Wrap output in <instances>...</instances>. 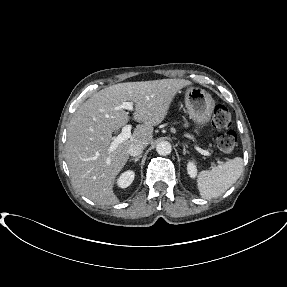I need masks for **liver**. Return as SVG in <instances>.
<instances>
[{
  "instance_id": "liver-1",
  "label": "liver",
  "mask_w": 287,
  "mask_h": 287,
  "mask_svg": "<svg viewBox=\"0 0 287 287\" xmlns=\"http://www.w3.org/2000/svg\"><path fill=\"white\" fill-rule=\"evenodd\" d=\"M188 85L184 79L119 83L84 102L67 125L65 159L75 190L100 206L119 203L113 187L129 158V146H147L153 140V126L164 120L176 94ZM127 101L135 105L133 118L142 124L110 151L112 133L129 121L124 109H116Z\"/></svg>"
}]
</instances>
